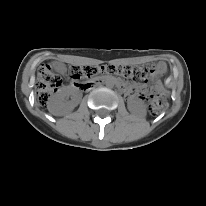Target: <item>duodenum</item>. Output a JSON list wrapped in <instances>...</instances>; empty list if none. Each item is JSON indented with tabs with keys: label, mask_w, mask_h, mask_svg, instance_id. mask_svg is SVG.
Here are the masks:
<instances>
[{
	"label": "duodenum",
	"mask_w": 206,
	"mask_h": 206,
	"mask_svg": "<svg viewBox=\"0 0 206 206\" xmlns=\"http://www.w3.org/2000/svg\"><path fill=\"white\" fill-rule=\"evenodd\" d=\"M112 82V79L111 78H107V77H100L99 79H97L96 81H94L93 83H88L86 84L85 86V89H89L91 88L93 85H99V84H105V83H111ZM113 83L115 85H118V86H122L123 83L118 80V79H114L113 80Z\"/></svg>",
	"instance_id": "410a0bca"
}]
</instances>
